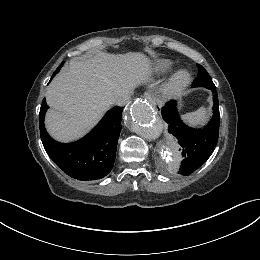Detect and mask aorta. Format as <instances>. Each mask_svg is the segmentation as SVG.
Instances as JSON below:
<instances>
[{
	"instance_id": "obj_1",
	"label": "aorta",
	"mask_w": 260,
	"mask_h": 260,
	"mask_svg": "<svg viewBox=\"0 0 260 260\" xmlns=\"http://www.w3.org/2000/svg\"><path fill=\"white\" fill-rule=\"evenodd\" d=\"M128 127L140 137L152 141L164 132V125L156 118L153 108L146 101L135 100L126 113ZM167 157L173 158L179 145L172 137L165 140ZM166 153H164L166 155Z\"/></svg>"
}]
</instances>
